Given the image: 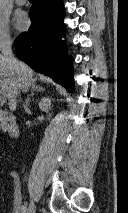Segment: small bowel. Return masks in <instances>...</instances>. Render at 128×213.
I'll use <instances>...</instances> for the list:
<instances>
[{"instance_id": "1", "label": "small bowel", "mask_w": 128, "mask_h": 213, "mask_svg": "<svg viewBox=\"0 0 128 213\" xmlns=\"http://www.w3.org/2000/svg\"><path fill=\"white\" fill-rule=\"evenodd\" d=\"M13 180V196L11 204V213H25V206L22 203V194L20 189L19 176L15 171H9Z\"/></svg>"}]
</instances>
